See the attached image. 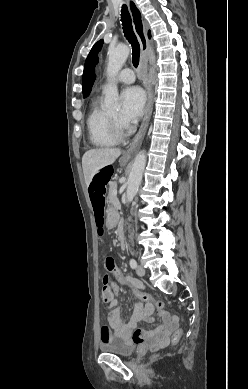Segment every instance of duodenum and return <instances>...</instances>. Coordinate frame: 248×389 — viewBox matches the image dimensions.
<instances>
[{
  "mask_svg": "<svg viewBox=\"0 0 248 389\" xmlns=\"http://www.w3.org/2000/svg\"><path fill=\"white\" fill-rule=\"evenodd\" d=\"M118 240L121 248L125 247V235L122 225L118 228Z\"/></svg>",
  "mask_w": 248,
  "mask_h": 389,
  "instance_id": "410a0bca",
  "label": "duodenum"
}]
</instances>
